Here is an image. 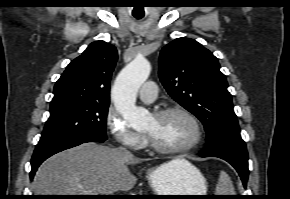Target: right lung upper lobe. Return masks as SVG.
Segmentation results:
<instances>
[{
    "label": "right lung upper lobe",
    "instance_id": "cb5924a9",
    "mask_svg": "<svg viewBox=\"0 0 290 199\" xmlns=\"http://www.w3.org/2000/svg\"><path fill=\"white\" fill-rule=\"evenodd\" d=\"M117 61L116 48L95 41L70 62L56 82L51 109L75 103L109 104L110 79Z\"/></svg>",
    "mask_w": 290,
    "mask_h": 199
}]
</instances>
